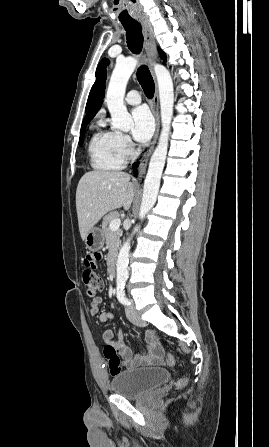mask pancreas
<instances>
[{"label": "pancreas", "mask_w": 269, "mask_h": 447, "mask_svg": "<svg viewBox=\"0 0 269 447\" xmlns=\"http://www.w3.org/2000/svg\"><path fill=\"white\" fill-rule=\"evenodd\" d=\"M119 214L118 212H110L108 216H105L103 222H102V229L103 233L105 235V241L106 245L109 249L108 257H107V265H111L113 263L116 255H117V249L119 247L120 243V231L119 229H116V231H112L110 229L109 225L112 220H115V218H118ZM110 269V267H108Z\"/></svg>", "instance_id": "1"}]
</instances>
